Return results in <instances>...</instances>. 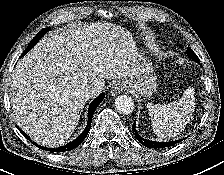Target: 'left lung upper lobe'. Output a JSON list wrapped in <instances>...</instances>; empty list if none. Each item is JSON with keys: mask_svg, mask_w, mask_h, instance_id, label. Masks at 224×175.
Here are the masks:
<instances>
[{"mask_svg": "<svg viewBox=\"0 0 224 175\" xmlns=\"http://www.w3.org/2000/svg\"><path fill=\"white\" fill-rule=\"evenodd\" d=\"M186 53H187V55H188L193 61H195V62H199V59H198L197 55L191 50L190 47H188Z\"/></svg>", "mask_w": 224, "mask_h": 175, "instance_id": "obj_1", "label": "left lung upper lobe"}]
</instances>
